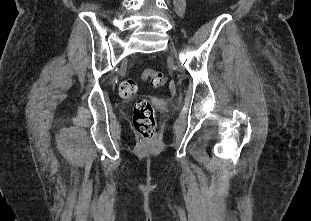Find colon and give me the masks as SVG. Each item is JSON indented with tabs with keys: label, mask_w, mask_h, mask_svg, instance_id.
Listing matches in <instances>:
<instances>
[{
	"label": "colon",
	"mask_w": 311,
	"mask_h": 221,
	"mask_svg": "<svg viewBox=\"0 0 311 221\" xmlns=\"http://www.w3.org/2000/svg\"><path fill=\"white\" fill-rule=\"evenodd\" d=\"M143 79L149 80L153 87H164L167 84V76L159 71L146 70ZM138 84L134 78H126L121 82L120 94L123 98H132L137 92ZM133 125L136 131L143 136L144 141H155L154 134L156 121L152 103L146 97L136 100L133 109Z\"/></svg>",
	"instance_id": "1"
}]
</instances>
